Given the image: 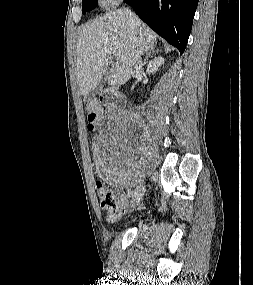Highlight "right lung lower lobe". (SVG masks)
<instances>
[{
    "mask_svg": "<svg viewBox=\"0 0 253 285\" xmlns=\"http://www.w3.org/2000/svg\"><path fill=\"white\" fill-rule=\"evenodd\" d=\"M158 35L185 50L198 0H125Z\"/></svg>",
    "mask_w": 253,
    "mask_h": 285,
    "instance_id": "obj_1",
    "label": "right lung lower lobe"
}]
</instances>
